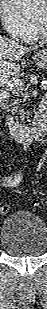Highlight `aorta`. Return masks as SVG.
Listing matches in <instances>:
<instances>
[{
    "instance_id": "aorta-1",
    "label": "aorta",
    "mask_w": 47,
    "mask_h": 309,
    "mask_svg": "<svg viewBox=\"0 0 47 309\" xmlns=\"http://www.w3.org/2000/svg\"><path fill=\"white\" fill-rule=\"evenodd\" d=\"M13 2L17 5L24 16L34 14L37 9V0H13Z\"/></svg>"
}]
</instances>
